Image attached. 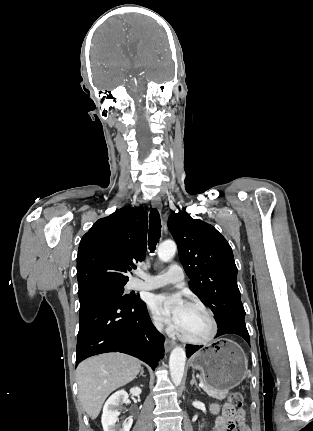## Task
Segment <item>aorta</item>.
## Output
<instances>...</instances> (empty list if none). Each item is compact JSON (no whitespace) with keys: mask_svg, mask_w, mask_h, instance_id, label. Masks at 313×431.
Returning <instances> with one entry per match:
<instances>
[{"mask_svg":"<svg viewBox=\"0 0 313 431\" xmlns=\"http://www.w3.org/2000/svg\"><path fill=\"white\" fill-rule=\"evenodd\" d=\"M176 250H177V246L175 242L169 240L159 245L157 249V254L161 261L167 262L173 258ZM185 361H186L185 350L181 347H175L170 354L169 369H170V376H171L172 382L176 386L180 385L182 381Z\"/></svg>","mask_w":313,"mask_h":431,"instance_id":"obj_1","label":"aorta"}]
</instances>
